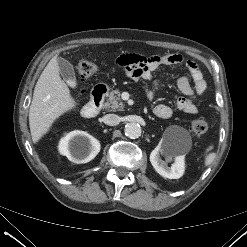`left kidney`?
Masks as SVG:
<instances>
[{"label":"left kidney","mask_w":247,"mask_h":247,"mask_svg":"<svg viewBox=\"0 0 247 247\" xmlns=\"http://www.w3.org/2000/svg\"><path fill=\"white\" fill-rule=\"evenodd\" d=\"M160 154L166 159V162L160 158ZM185 155L179 154L175 149L160 142L159 145L151 152L150 162L158 174L168 179H178L185 171ZM174 161L171 167L167 162Z\"/></svg>","instance_id":"5707ae66"}]
</instances>
